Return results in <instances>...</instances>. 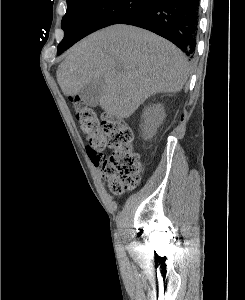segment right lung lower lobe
<instances>
[{
	"mask_svg": "<svg viewBox=\"0 0 245 300\" xmlns=\"http://www.w3.org/2000/svg\"><path fill=\"white\" fill-rule=\"evenodd\" d=\"M199 0H152L130 16L119 21L150 30L192 56L196 46Z\"/></svg>",
	"mask_w": 245,
	"mask_h": 300,
	"instance_id": "98d812e1",
	"label": "right lung lower lobe"
}]
</instances>
